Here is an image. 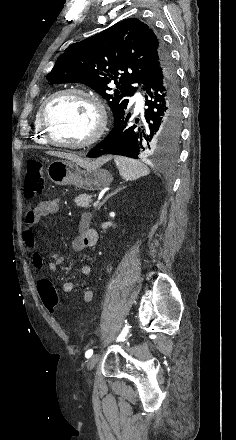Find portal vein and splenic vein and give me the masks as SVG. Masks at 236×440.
Masks as SVG:
<instances>
[{
	"label": "portal vein and splenic vein",
	"instance_id": "18ae733b",
	"mask_svg": "<svg viewBox=\"0 0 236 440\" xmlns=\"http://www.w3.org/2000/svg\"><path fill=\"white\" fill-rule=\"evenodd\" d=\"M99 204V201H96L93 206L96 207Z\"/></svg>",
	"mask_w": 236,
	"mask_h": 440
}]
</instances>
